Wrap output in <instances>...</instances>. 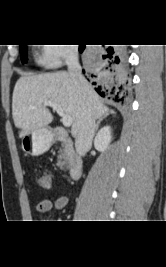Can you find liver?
Returning <instances> with one entry per match:
<instances>
[{
    "mask_svg": "<svg viewBox=\"0 0 166 267\" xmlns=\"http://www.w3.org/2000/svg\"><path fill=\"white\" fill-rule=\"evenodd\" d=\"M89 87L93 116L100 119L109 108L101 102L94 89L90 85ZM46 101L58 104L72 117L71 133L76 136L82 117L84 94L67 72L59 71L24 75L16 82L12 97V116L15 126L21 129L20 137L52 122L53 115L44 105Z\"/></svg>",
    "mask_w": 166,
    "mask_h": 267,
    "instance_id": "obj_1",
    "label": "liver"
}]
</instances>
